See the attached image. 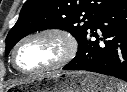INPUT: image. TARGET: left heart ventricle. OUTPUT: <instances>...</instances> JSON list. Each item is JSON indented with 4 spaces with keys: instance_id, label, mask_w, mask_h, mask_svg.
Returning <instances> with one entry per match:
<instances>
[{
    "instance_id": "left-heart-ventricle-1",
    "label": "left heart ventricle",
    "mask_w": 127,
    "mask_h": 92,
    "mask_svg": "<svg viewBox=\"0 0 127 92\" xmlns=\"http://www.w3.org/2000/svg\"><path fill=\"white\" fill-rule=\"evenodd\" d=\"M64 52L63 43L52 36L28 40L19 49L17 63L24 70H35L56 62Z\"/></svg>"
}]
</instances>
